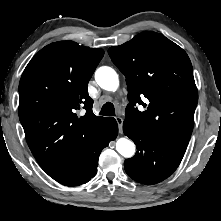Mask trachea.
<instances>
[{
    "instance_id": "trachea-1",
    "label": "trachea",
    "mask_w": 221,
    "mask_h": 221,
    "mask_svg": "<svg viewBox=\"0 0 221 221\" xmlns=\"http://www.w3.org/2000/svg\"><path fill=\"white\" fill-rule=\"evenodd\" d=\"M100 115L115 116L114 105L112 103H110V102L105 103L102 106V109L100 111Z\"/></svg>"
}]
</instances>
